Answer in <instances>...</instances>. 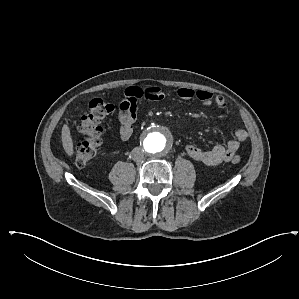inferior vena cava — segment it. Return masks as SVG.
<instances>
[{"label": "inferior vena cava", "mask_w": 299, "mask_h": 299, "mask_svg": "<svg viewBox=\"0 0 299 299\" xmlns=\"http://www.w3.org/2000/svg\"><path fill=\"white\" fill-rule=\"evenodd\" d=\"M131 156L135 162H141L144 159V150L140 147H135L132 150Z\"/></svg>", "instance_id": "1"}]
</instances>
